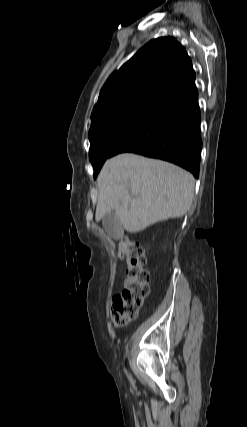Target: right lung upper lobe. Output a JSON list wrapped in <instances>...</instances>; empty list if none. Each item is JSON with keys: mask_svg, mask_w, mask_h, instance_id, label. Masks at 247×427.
<instances>
[{"mask_svg": "<svg viewBox=\"0 0 247 427\" xmlns=\"http://www.w3.org/2000/svg\"><path fill=\"white\" fill-rule=\"evenodd\" d=\"M195 72L184 47L172 37L143 46L101 89L91 122L116 110L158 107L174 94L195 85Z\"/></svg>", "mask_w": 247, "mask_h": 427, "instance_id": "1", "label": "right lung upper lobe"}]
</instances>
